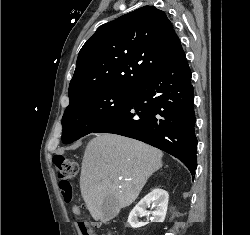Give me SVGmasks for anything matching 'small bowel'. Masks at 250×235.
<instances>
[{"label": "small bowel", "instance_id": "c3829d8e", "mask_svg": "<svg viewBox=\"0 0 250 235\" xmlns=\"http://www.w3.org/2000/svg\"><path fill=\"white\" fill-rule=\"evenodd\" d=\"M75 213H78V209L77 208H74L73 210ZM94 235V234H93Z\"/></svg>", "mask_w": 250, "mask_h": 235}]
</instances>
